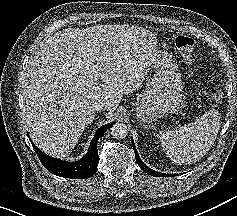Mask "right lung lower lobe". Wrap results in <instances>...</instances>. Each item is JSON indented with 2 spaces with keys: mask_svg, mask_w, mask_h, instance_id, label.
Segmentation results:
<instances>
[{
  "mask_svg": "<svg viewBox=\"0 0 237 216\" xmlns=\"http://www.w3.org/2000/svg\"><path fill=\"white\" fill-rule=\"evenodd\" d=\"M114 124L115 122H111L100 127L90 143L87 154L82 159L71 163L49 157L32 143L30 137L29 139L39 157V160L49 172L65 178L86 179L93 176L97 172V165L99 163L97 150L98 139Z\"/></svg>",
  "mask_w": 237,
  "mask_h": 216,
  "instance_id": "obj_1",
  "label": "right lung lower lobe"
}]
</instances>
